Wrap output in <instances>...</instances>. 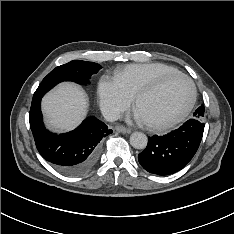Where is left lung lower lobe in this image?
<instances>
[{"label":"left lung lower lobe","instance_id":"1","mask_svg":"<svg viewBox=\"0 0 234 234\" xmlns=\"http://www.w3.org/2000/svg\"><path fill=\"white\" fill-rule=\"evenodd\" d=\"M204 126L201 120L191 118L166 135L149 137L146 149L138 155L140 165L162 176L181 170L196 153Z\"/></svg>","mask_w":234,"mask_h":234}]
</instances>
